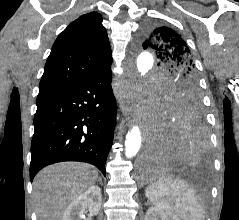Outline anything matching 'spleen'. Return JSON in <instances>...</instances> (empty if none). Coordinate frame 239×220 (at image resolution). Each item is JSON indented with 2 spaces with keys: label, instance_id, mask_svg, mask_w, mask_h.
Wrapping results in <instances>:
<instances>
[{
  "label": "spleen",
  "instance_id": "1",
  "mask_svg": "<svg viewBox=\"0 0 239 220\" xmlns=\"http://www.w3.org/2000/svg\"><path fill=\"white\" fill-rule=\"evenodd\" d=\"M145 195L155 207L175 213L182 220H205L201 199L182 179L160 178L146 188Z\"/></svg>",
  "mask_w": 239,
  "mask_h": 220
}]
</instances>
